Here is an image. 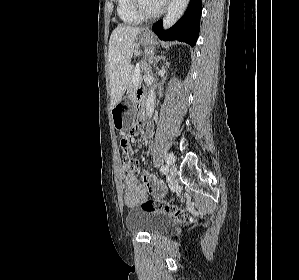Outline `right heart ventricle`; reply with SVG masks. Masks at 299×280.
Here are the masks:
<instances>
[{
  "instance_id": "right-heart-ventricle-1",
  "label": "right heart ventricle",
  "mask_w": 299,
  "mask_h": 280,
  "mask_svg": "<svg viewBox=\"0 0 299 280\" xmlns=\"http://www.w3.org/2000/svg\"><path fill=\"white\" fill-rule=\"evenodd\" d=\"M117 14L120 20L128 25H137L143 21L133 10L132 0H117Z\"/></svg>"
}]
</instances>
